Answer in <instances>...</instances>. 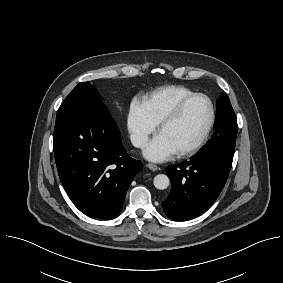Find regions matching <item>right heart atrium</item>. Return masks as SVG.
Returning <instances> with one entry per match:
<instances>
[{"label":"right heart atrium","mask_w":283,"mask_h":283,"mask_svg":"<svg viewBox=\"0 0 283 283\" xmlns=\"http://www.w3.org/2000/svg\"><path fill=\"white\" fill-rule=\"evenodd\" d=\"M127 127L132 144L142 148L155 132L157 124L149 118L143 103L133 100L128 111Z\"/></svg>","instance_id":"right-heart-atrium-1"}]
</instances>
